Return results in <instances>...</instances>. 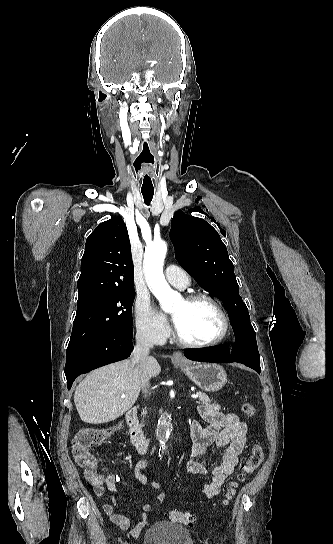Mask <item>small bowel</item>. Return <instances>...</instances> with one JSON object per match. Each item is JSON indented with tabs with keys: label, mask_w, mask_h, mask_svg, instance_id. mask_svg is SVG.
<instances>
[{
	"label": "small bowel",
	"mask_w": 333,
	"mask_h": 544,
	"mask_svg": "<svg viewBox=\"0 0 333 544\" xmlns=\"http://www.w3.org/2000/svg\"><path fill=\"white\" fill-rule=\"evenodd\" d=\"M198 411L207 425L203 427L196 421H191L188 425V432L192 440L190 455L193 459L186 462L185 470L188 473L199 475L210 473L211 480L201 486V491L206 497L214 498L220 493L226 479L233 474L239 463L240 454L246 443L247 425L236 414L222 412L216 403L200 405ZM212 445L223 449V455L220 465L209 470L205 460L196 458L204 457ZM149 465V461L140 460L134 466V477L143 486L148 484L143 471ZM118 481L117 475L107 471L101 482L93 485L94 494L100 498L104 496L106 490L113 494L116 493ZM153 492L157 493L158 502L164 499V493L160 490L159 483L153 484ZM152 509V505L144 503L142 505L143 512L140 514L139 520L134 523L131 518L117 513L114 503L108 502L103 505L106 516L121 531H127L133 525L129 532L133 538L138 537L148 525V512Z\"/></svg>",
	"instance_id": "1"
}]
</instances>
